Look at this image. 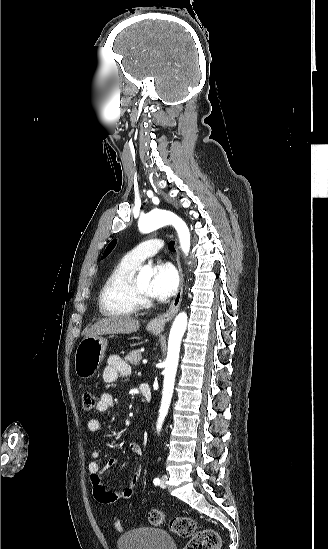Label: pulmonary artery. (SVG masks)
I'll return each instance as SVG.
<instances>
[{"instance_id": "e3ab8cb5", "label": "pulmonary artery", "mask_w": 328, "mask_h": 549, "mask_svg": "<svg viewBox=\"0 0 328 549\" xmlns=\"http://www.w3.org/2000/svg\"><path fill=\"white\" fill-rule=\"evenodd\" d=\"M164 245L162 237H152L150 241H142L140 246H136L127 253V257L134 262H143L148 257H155L159 248Z\"/></svg>"}]
</instances>
